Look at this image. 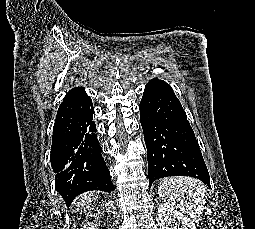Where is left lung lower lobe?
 I'll list each match as a JSON object with an SVG mask.
<instances>
[{"label": "left lung lower lobe", "instance_id": "0a47b994", "mask_svg": "<svg viewBox=\"0 0 255 229\" xmlns=\"http://www.w3.org/2000/svg\"><path fill=\"white\" fill-rule=\"evenodd\" d=\"M139 110L147 145L149 186L156 179L181 175L198 178L210 187L195 134L170 85L151 79Z\"/></svg>", "mask_w": 255, "mask_h": 229}]
</instances>
